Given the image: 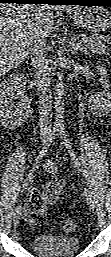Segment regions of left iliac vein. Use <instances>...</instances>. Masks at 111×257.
<instances>
[{
    "label": "left iliac vein",
    "mask_w": 111,
    "mask_h": 257,
    "mask_svg": "<svg viewBox=\"0 0 111 257\" xmlns=\"http://www.w3.org/2000/svg\"><path fill=\"white\" fill-rule=\"evenodd\" d=\"M84 196L86 198V201L90 207V209H94V200L90 193V191L87 188H84Z\"/></svg>",
    "instance_id": "1"
}]
</instances>
